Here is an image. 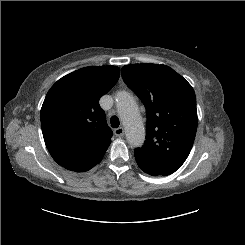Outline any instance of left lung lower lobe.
<instances>
[{
	"mask_svg": "<svg viewBox=\"0 0 245 245\" xmlns=\"http://www.w3.org/2000/svg\"><path fill=\"white\" fill-rule=\"evenodd\" d=\"M138 166L147 174L152 176H167L174 173L177 169L165 164V163H156L151 164L145 160L135 156Z\"/></svg>",
	"mask_w": 245,
	"mask_h": 245,
	"instance_id": "obj_1",
	"label": "left lung lower lobe"
}]
</instances>
